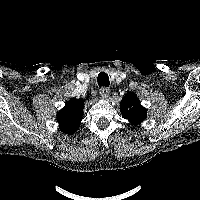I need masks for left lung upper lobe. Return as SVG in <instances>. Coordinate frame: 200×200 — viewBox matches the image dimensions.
Returning a JSON list of instances; mask_svg holds the SVG:
<instances>
[{
    "instance_id": "5c2ea615",
    "label": "left lung upper lobe",
    "mask_w": 200,
    "mask_h": 200,
    "mask_svg": "<svg viewBox=\"0 0 200 200\" xmlns=\"http://www.w3.org/2000/svg\"><path fill=\"white\" fill-rule=\"evenodd\" d=\"M122 116L132 125L140 124L147 116L146 109L140 104L136 94L128 92L121 101Z\"/></svg>"
}]
</instances>
